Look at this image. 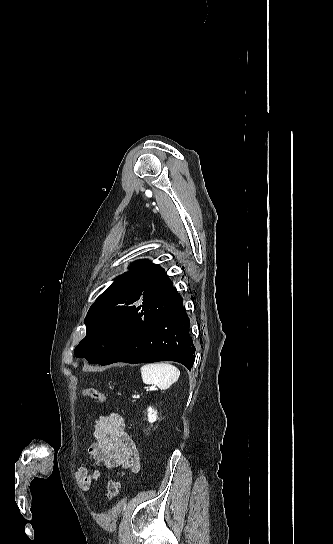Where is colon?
Wrapping results in <instances>:
<instances>
[{"instance_id": "1", "label": "colon", "mask_w": 333, "mask_h": 544, "mask_svg": "<svg viewBox=\"0 0 333 544\" xmlns=\"http://www.w3.org/2000/svg\"><path fill=\"white\" fill-rule=\"evenodd\" d=\"M82 395L83 396H87V397H91L101 403H105L106 402V397L103 393H101L99 390L95 389V388H92V387H88V388H85L83 391H82ZM120 492V483L117 479L115 478H112L108 481L107 483V497L109 500H112L114 499Z\"/></svg>"}]
</instances>
